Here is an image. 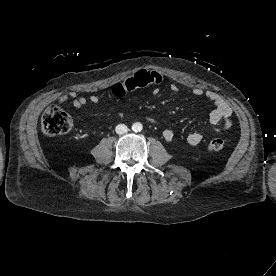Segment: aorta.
Wrapping results in <instances>:
<instances>
[{
	"label": "aorta",
	"instance_id": "obj_1",
	"mask_svg": "<svg viewBox=\"0 0 276 276\" xmlns=\"http://www.w3.org/2000/svg\"><path fill=\"white\" fill-rule=\"evenodd\" d=\"M143 129V126L140 122H136L132 125V130L135 132H140Z\"/></svg>",
	"mask_w": 276,
	"mask_h": 276
}]
</instances>
